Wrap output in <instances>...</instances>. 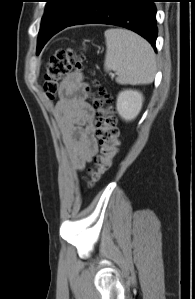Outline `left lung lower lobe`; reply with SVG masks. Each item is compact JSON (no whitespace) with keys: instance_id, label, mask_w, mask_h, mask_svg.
<instances>
[{"instance_id":"0a47b994","label":"left lung lower lobe","mask_w":195,"mask_h":299,"mask_svg":"<svg viewBox=\"0 0 195 299\" xmlns=\"http://www.w3.org/2000/svg\"><path fill=\"white\" fill-rule=\"evenodd\" d=\"M154 2L156 0H89L78 17L68 26L97 23L125 27L141 35L156 50ZM57 31L51 32L48 38L58 33Z\"/></svg>"}]
</instances>
